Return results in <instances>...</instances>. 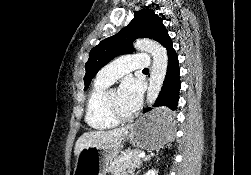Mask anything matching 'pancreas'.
<instances>
[{
  "mask_svg": "<svg viewBox=\"0 0 251 175\" xmlns=\"http://www.w3.org/2000/svg\"><path fill=\"white\" fill-rule=\"evenodd\" d=\"M138 153H141L139 149H125L122 155L111 161L108 171L111 175H134L135 167L142 163V157H138Z\"/></svg>",
  "mask_w": 251,
  "mask_h": 175,
  "instance_id": "pancreas-1",
  "label": "pancreas"
}]
</instances>
